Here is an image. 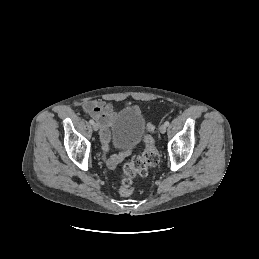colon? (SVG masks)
Instances as JSON below:
<instances>
[{
    "mask_svg": "<svg viewBox=\"0 0 259 259\" xmlns=\"http://www.w3.org/2000/svg\"><path fill=\"white\" fill-rule=\"evenodd\" d=\"M148 131L153 132L154 126L148 125ZM145 148L140 156L133 157L125 163L120 181L119 192L122 196H131L134 192L133 179L136 176H145L150 167L156 166L159 162V154L151 136L145 138Z\"/></svg>",
    "mask_w": 259,
    "mask_h": 259,
    "instance_id": "colon-1",
    "label": "colon"
}]
</instances>
